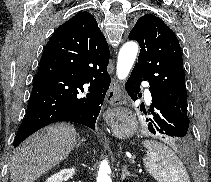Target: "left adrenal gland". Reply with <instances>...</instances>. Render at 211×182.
Instances as JSON below:
<instances>
[{
    "mask_svg": "<svg viewBox=\"0 0 211 182\" xmlns=\"http://www.w3.org/2000/svg\"><path fill=\"white\" fill-rule=\"evenodd\" d=\"M129 176H135V175L129 173V171L127 170V165H124L122 168L121 181H123L126 177Z\"/></svg>",
    "mask_w": 211,
    "mask_h": 182,
    "instance_id": "1",
    "label": "left adrenal gland"
}]
</instances>
